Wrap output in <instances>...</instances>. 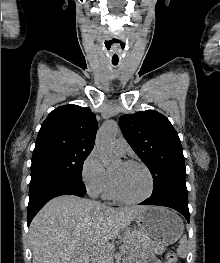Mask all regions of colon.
Here are the masks:
<instances>
[{
    "label": "colon",
    "instance_id": "5ec220e1",
    "mask_svg": "<svg viewBox=\"0 0 220 263\" xmlns=\"http://www.w3.org/2000/svg\"><path fill=\"white\" fill-rule=\"evenodd\" d=\"M166 263H178V257L175 253H168L167 254V262Z\"/></svg>",
    "mask_w": 220,
    "mask_h": 263
}]
</instances>
